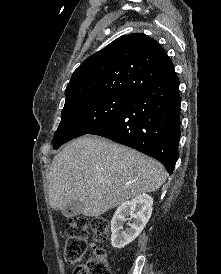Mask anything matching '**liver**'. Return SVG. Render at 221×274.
Wrapping results in <instances>:
<instances>
[{"mask_svg":"<svg viewBox=\"0 0 221 274\" xmlns=\"http://www.w3.org/2000/svg\"><path fill=\"white\" fill-rule=\"evenodd\" d=\"M167 178L158 161L126 146L86 135L53 158L48 174L51 208L64 211L73 200L82 214L97 217L142 193L158 190Z\"/></svg>","mask_w":221,"mask_h":274,"instance_id":"liver-1","label":"liver"}]
</instances>
